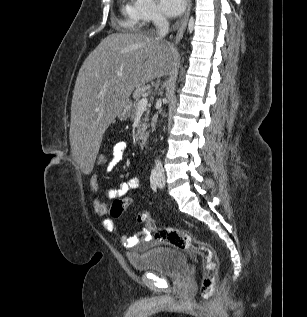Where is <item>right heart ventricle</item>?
<instances>
[{
    "label": "right heart ventricle",
    "instance_id": "e07e8e85",
    "mask_svg": "<svg viewBox=\"0 0 307 317\" xmlns=\"http://www.w3.org/2000/svg\"><path fill=\"white\" fill-rule=\"evenodd\" d=\"M121 13L124 17V26L132 31L140 28V20L135 11V2L133 0H122Z\"/></svg>",
    "mask_w": 307,
    "mask_h": 317
}]
</instances>
